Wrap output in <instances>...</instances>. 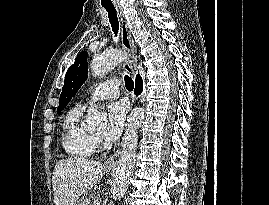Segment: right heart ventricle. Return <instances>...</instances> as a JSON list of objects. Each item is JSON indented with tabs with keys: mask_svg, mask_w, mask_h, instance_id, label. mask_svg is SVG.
Here are the masks:
<instances>
[{
	"mask_svg": "<svg viewBox=\"0 0 269 205\" xmlns=\"http://www.w3.org/2000/svg\"><path fill=\"white\" fill-rule=\"evenodd\" d=\"M82 107L75 106L66 114L63 122L62 147L75 159L91 157L96 150L95 138L81 125Z\"/></svg>",
	"mask_w": 269,
	"mask_h": 205,
	"instance_id": "1",
	"label": "right heart ventricle"
}]
</instances>
